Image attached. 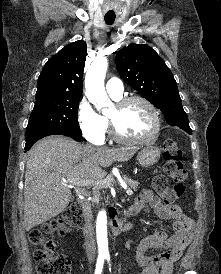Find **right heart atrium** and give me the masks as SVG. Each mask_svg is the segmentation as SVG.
Listing matches in <instances>:
<instances>
[{
	"instance_id": "right-heart-atrium-1",
	"label": "right heart atrium",
	"mask_w": 221,
	"mask_h": 274,
	"mask_svg": "<svg viewBox=\"0 0 221 274\" xmlns=\"http://www.w3.org/2000/svg\"><path fill=\"white\" fill-rule=\"evenodd\" d=\"M77 119L83 136L92 143H101L106 135L107 121L83 97L77 108Z\"/></svg>"
}]
</instances>
